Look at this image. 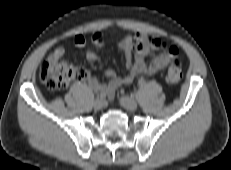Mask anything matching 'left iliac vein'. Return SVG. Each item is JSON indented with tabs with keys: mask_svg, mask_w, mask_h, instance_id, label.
<instances>
[{
	"mask_svg": "<svg viewBox=\"0 0 231 170\" xmlns=\"http://www.w3.org/2000/svg\"><path fill=\"white\" fill-rule=\"evenodd\" d=\"M120 103L129 111H135L138 108L137 102L127 95H124L120 98Z\"/></svg>",
	"mask_w": 231,
	"mask_h": 170,
	"instance_id": "obj_1",
	"label": "left iliac vein"
}]
</instances>
